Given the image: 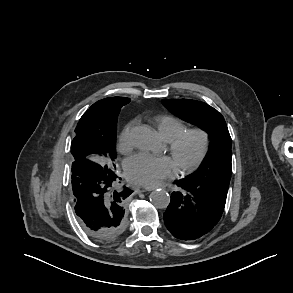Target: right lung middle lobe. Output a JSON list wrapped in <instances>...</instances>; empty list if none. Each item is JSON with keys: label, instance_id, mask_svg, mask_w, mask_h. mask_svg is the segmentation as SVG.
Masks as SVG:
<instances>
[{"label": "right lung middle lobe", "instance_id": "1", "mask_svg": "<svg viewBox=\"0 0 293 293\" xmlns=\"http://www.w3.org/2000/svg\"><path fill=\"white\" fill-rule=\"evenodd\" d=\"M120 110L121 106L112 111L110 127L107 130L99 129L94 124L82 126L78 123L75 129L76 136L71 144L73 157L77 154L92 153L96 156V163L102 165L105 170H114L116 123Z\"/></svg>", "mask_w": 293, "mask_h": 293}]
</instances>
